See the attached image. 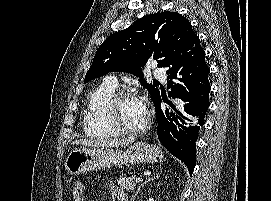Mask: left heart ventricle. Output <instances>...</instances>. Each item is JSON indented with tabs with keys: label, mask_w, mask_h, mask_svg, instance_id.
<instances>
[{
	"label": "left heart ventricle",
	"mask_w": 271,
	"mask_h": 201,
	"mask_svg": "<svg viewBox=\"0 0 271 201\" xmlns=\"http://www.w3.org/2000/svg\"><path fill=\"white\" fill-rule=\"evenodd\" d=\"M116 113L120 121L131 128L140 127L146 120V117L138 110L134 98L121 100L116 107Z\"/></svg>",
	"instance_id": "1"
}]
</instances>
